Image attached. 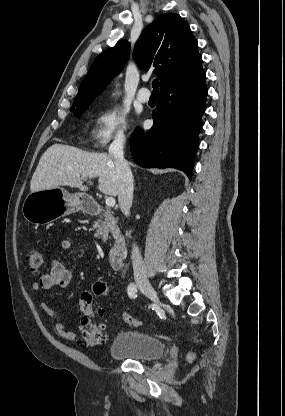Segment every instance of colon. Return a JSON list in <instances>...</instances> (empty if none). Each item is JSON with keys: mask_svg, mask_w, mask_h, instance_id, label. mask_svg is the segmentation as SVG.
I'll return each mask as SVG.
<instances>
[{"mask_svg": "<svg viewBox=\"0 0 285 416\" xmlns=\"http://www.w3.org/2000/svg\"><path fill=\"white\" fill-rule=\"evenodd\" d=\"M25 261L33 273H38L45 263L44 255L36 250L31 249L25 254ZM108 286L104 282H95L89 290L82 292L80 296V315L81 327L79 342L86 347L102 345L106 342V329L103 324L97 322V317L101 310L95 307V297L106 296ZM124 322L132 327H139L142 321L129 314L123 313ZM191 359V357H190Z\"/></svg>", "mask_w": 285, "mask_h": 416, "instance_id": "colon-1", "label": "colon"}]
</instances>
